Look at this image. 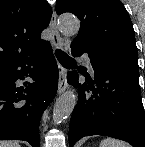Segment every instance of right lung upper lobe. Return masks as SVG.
Here are the masks:
<instances>
[{
  "instance_id": "cb5924a9",
  "label": "right lung upper lobe",
  "mask_w": 145,
  "mask_h": 147,
  "mask_svg": "<svg viewBox=\"0 0 145 147\" xmlns=\"http://www.w3.org/2000/svg\"><path fill=\"white\" fill-rule=\"evenodd\" d=\"M51 16L46 0H0V67L45 46L48 42L40 34Z\"/></svg>"
}]
</instances>
